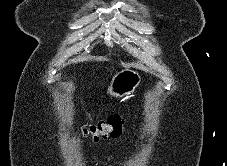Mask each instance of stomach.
Returning <instances> with one entry per match:
<instances>
[{
	"instance_id": "stomach-1",
	"label": "stomach",
	"mask_w": 227,
	"mask_h": 166,
	"mask_svg": "<svg viewBox=\"0 0 227 166\" xmlns=\"http://www.w3.org/2000/svg\"><path fill=\"white\" fill-rule=\"evenodd\" d=\"M141 83L140 74L130 68L117 72L108 86L107 94L110 97L122 98L131 95Z\"/></svg>"
}]
</instances>
